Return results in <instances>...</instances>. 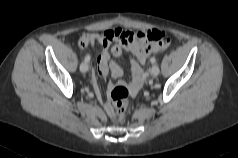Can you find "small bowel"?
Masks as SVG:
<instances>
[{
  "instance_id": "obj_1",
  "label": "small bowel",
  "mask_w": 238,
  "mask_h": 158,
  "mask_svg": "<svg viewBox=\"0 0 238 158\" xmlns=\"http://www.w3.org/2000/svg\"><path fill=\"white\" fill-rule=\"evenodd\" d=\"M154 33L164 35L159 30L132 32L121 28L107 30L102 34L85 33L79 38L78 47L85 49L88 46H94L96 44L101 47V51L97 57V70L102 77H107L110 73L113 77H119L123 73L122 68L111 59L109 47L112 43L114 44L111 48V54L115 57L121 56L124 50L131 52L135 57V59H131L130 61L132 72L131 90L135 92L143 79L141 64H144L148 57L156 52L154 41L149 38ZM92 83L96 95L101 99L102 94L94 73L92 75ZM105 109L108 112L109 104L105 105Z\"/></svg>"
}]
</instances>
